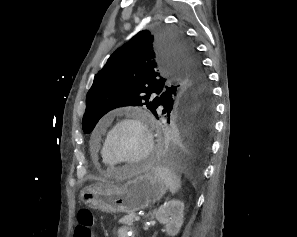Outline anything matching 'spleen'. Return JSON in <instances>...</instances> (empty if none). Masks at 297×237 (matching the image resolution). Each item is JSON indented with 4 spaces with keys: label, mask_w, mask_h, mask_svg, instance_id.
<instances>
[{
    "label": "spleen",
    "mask_w": 297,
    "mask_h": 237,
    "mask_svg": "<svg viewBox=\"0 0 297 237\" xmlns=\"http://www.w3.org/2000/svg\"><path fill=\"white\" fill-rule=\"evenodd\" d=\"M154 173L165 183L172 194L181 188V178L171 169L157 166L154 168Z\"/></svg>",
    "instance_id": "1"
}]
</instances>
